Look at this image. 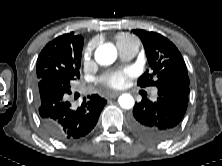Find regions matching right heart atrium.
<instances>
[{"label":"right heart atrium","instance_id":"1","mask_svg":"<svg viewBox=\"0 0 222 166\" xmlns=\"http://www.w3.org/2000/svg\"><path fill=\"white\" fill-rule=\"evenodd\" d=\"M92 50L93 49L90 46L85 49L84 55H83L84 60H88L90 58V56L92 54Z\"/></svg>","mask_w":222,"mask_h":166}]
</instances>
